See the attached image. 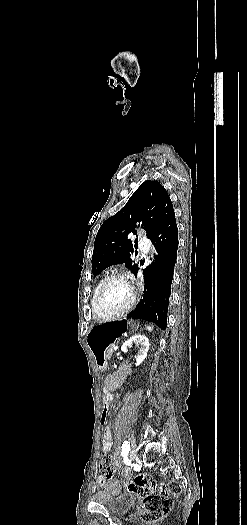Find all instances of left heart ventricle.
Here are the masks:
<instances>
[{
    "label": "left heart ventricle",
    "mask_w": 247,
    "mask_h": 525,
    "mask_svg": "<svg viewBox=\"0 0 247 525\" xmlns=\"http://www.w3.org/2000/svg\"><path fill=\"white\" fill-rule=\"evenodd\" d=\"M133 283L127 278H112L100 290L98 304L102 308H113L125 304L131 295Z\"/></svg>",
    "instance_id": "1"
}]
</instances>
